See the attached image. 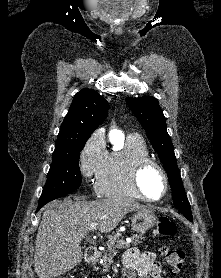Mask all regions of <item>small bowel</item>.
Listing matches in <instances>:
<instances>
[{"mask_svg":"<svg viewBox=\"0 0 221 278\" xmlns=\"http://www.w3.org/2000/svg\"><path fill=\"white\" fill-rule=\"evenodd\" d=\"M161 266L154 252H139L132 249L126 252L124 257L123 274L128 278L138 275L142 278H161Z\"/></svg>","mask_w":221,"mask_h":278,"instance_id":"1","label":"small bowel"}]
</instances>
